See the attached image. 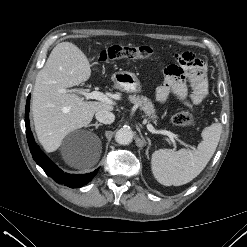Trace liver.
<instances>
[{"mask_svg": "<svg viewBox=\"0 0 247 247\" xmlns=\"http://www.w3.org/2000/svg\"><path fill=\"white\" fill-rule=\"evenodd\" d=\"M90 66L86 55L75 44L62 42L53 48L39 71L32 92V113L38 140L47 152L57 150L70 132L87 127L97 111L113 110L110 104L85 101L67 92L68 88L89 79ZM100 154L99 144L92 156L67 160V163L79 169L91 168Z\"/></svg>", "mask_w": 247, "mask_h": 247, "instance_id": "obj_1", "label": "liver"}]
</instances>
